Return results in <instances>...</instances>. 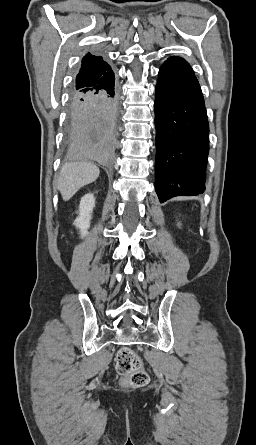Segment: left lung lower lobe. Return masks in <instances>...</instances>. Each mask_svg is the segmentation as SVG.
I'll return each instance as SVG.
<instances>
[{"label":"left lung lower lobe","instance_id":"left-lung-lower-lobe-1","mask_svg":"<svg viewBox=\"0 0 256 445\" xmlns=\"http://www.w3.org/2000/svg\"><path fill=\"white\" fill-rule=\"evenodd\" d=\"M155 189L161 203L203 193L209 151L204 99L194 73L164 63L155 96Z\"/></svg>","mask_w":256,"mask_h":445}]
</instances>
